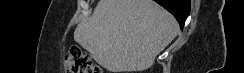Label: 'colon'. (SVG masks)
I'll use <instances>...</instances> for the list:
<instances>
[{
  "label": "colon",
  "mask_w": 244,
  "mask_h": 73,
  "mask_svg": "<svg viewBox=\"0 0 244 73\" xmlns=\"http://www.w3.org/2000/svg\"><path fill=\"white\" fill-rule=\"evenodd\" d=\"M66 73H102L91 57L80 48H73L64 56Z\"/></svg>",
  "instance_id": "5ec220e1"
}]
</instances>
